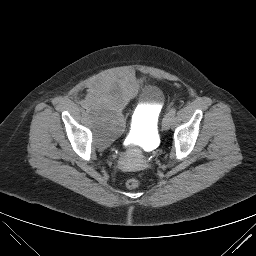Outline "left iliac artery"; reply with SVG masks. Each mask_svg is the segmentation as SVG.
I'll use <instances>...</instances> for the list:
<instances>
[{
    "instance_id": "left-iliac-artery-1",
    "label": "left iliac artery",
    "mask_w": 256,
    "mask_h": 256,
    "mask_svg": "<svg viewBox=\"0 0 256 256\" xmlns=\"http://www.w3.org/2000/svg\"><path fill=\"white\" fill-rule=\"evenodd\" d=\"M176 108L175 107H173L170 111H169V115L171 116V117H174L175 116V114H176Z\"/></svg>"
}]
</instances>
